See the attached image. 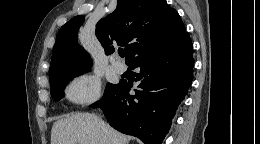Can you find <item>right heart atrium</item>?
Wrapping results in <instances>:
<instances>
[{"label":"right heart atrium","instance_id":"obj_1","mask_svg":"<svg viewBox=\"0 0 260 144\" xmlns=\"http://www.w3.org/2000/svg\"><path fill=\"white\" fill-rule=\"evenodd\" d=\"M67 98L78 104L96 101L101 94V84L93 74H82L70 81L66 87Z\"/></svg>","mask_w":260,"mask_h":144}]
</instances>
